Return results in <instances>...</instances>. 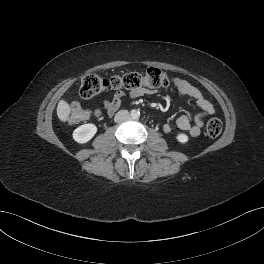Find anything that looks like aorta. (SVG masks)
<instances>
[{"instance_id":"762f6f07","label":"aorta","mask_w":264,"mask_h":264,"mask_svg":"<svg viewBox=\"0 0 264 264\" xmlns=\"http://www.w3.org/2000/svg\"><path fill=\"white\" fill-rule=\"evenodd\" d=\"M132 119L137 120L140 117V112L138 110H132L130 113Z\"/></svg>"}]
</instances>
